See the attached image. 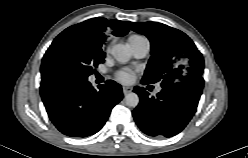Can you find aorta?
Masks as SVG:
<instances>
[{
    "mask_svg": "<svg viewBox=\"0 0 248 158\" xmlns=\"http://www.w3.org/2000/svg\"><path fill=\"white\" fill-rule=\"evenodd\" d=\"M113 57L120 63H126L131 58L130 50L123 44H116L111 51ZM125 103L129 107H136L139 104V97L136 93L131 92L125 96Z\"/></svg>",
    "mask_w": 248,
    "mask_h": 158,
    "instance_id": "obj_1",
    "label": "aorta"
}]
</instances>
